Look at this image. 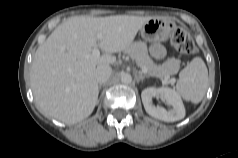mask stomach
<instances>
[{
	"label": "stomach",
	"instance_id": "0dacf381",
	"mask_svg": "<svg viewBox=\"0 0 238 158\" xmlns=\"http://www.w3.org/2000/svg\"><path fill=\"white\" fill-rule=\"evenodd\" d=\"M140 32L147 41L163 42L169 38L172 26L169 21L152 18L141 27Z\"/></svg>",
	"mask_w": 238,
	"mask_h": 158
}]
</instances>
